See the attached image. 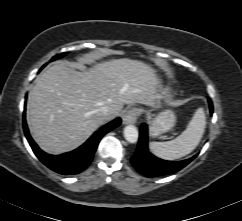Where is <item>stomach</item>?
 Wrapping results in <instances>:
<instances>
[{"mask_svg": "<svg viewBox=\"0 0 242 221\" xmlns=\"http://www.w3.org/2000/svg\"><path fill=\"white\" fill-rule=\"evenodd\" d=\"M176 123V116L172 110L160 112L150 121V135L158 137L161 134L171 130Z\"/></svg>", "mask_w": 242, "mask_h": 221, "instance_id": "obj_1", "label": "stomach"}]
</instances>
